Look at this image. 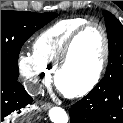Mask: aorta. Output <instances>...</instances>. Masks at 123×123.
<instances>
[{
    "mask_svg": "<svg viewBox=\"0 0 123 123\" xmlns=\"http://www.w3.org/2000/svg\"><path fill=\"white\" fill-rule=\"evenodd\" d=\"M49 118L53 123H67L68 115L61 107H52L49 110Z\"/></svg>",
    "mask_w": 123,
    "mask_h": 123,
    "instance_id": "obj_1",
    "label": "aorta"
}]
</instances>
